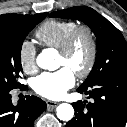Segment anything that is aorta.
<instances>
[{"label":"aorta","instance_id":"762f6f07","mask_svg":"<svg viewBox=\"0 0 127 127\" xmlns=\"http://www.w3.org/2000/svg\"><path fill=\"white\" fill-rule=\"evenodd\" d=\"M37 65L45 70L54 69V58L49 50H43L37 57ZM57 117L62 121H69L74 116V108L68 103H62L57 107Z\"/></svg>","mask_w":127,"mask_h":127}]
</instances>
